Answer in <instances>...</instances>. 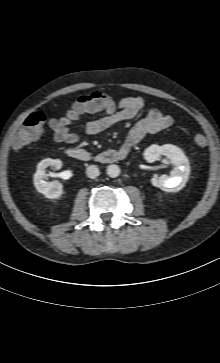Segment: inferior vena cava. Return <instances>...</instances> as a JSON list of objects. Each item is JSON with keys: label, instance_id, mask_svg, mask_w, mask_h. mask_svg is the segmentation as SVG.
Segmentation results:
<instances>
[{"label": "inferior vena cava", "instance_id": "inferior-vena-cava-1", "mask_svg": "<svg viewBox=\"0 0 220 363\" xmlns=\"http://www.w3.org/2000/svg\"><path fill=\"white\" fill-rule=\"evenodd\" d=\"M86 174L89 178L94 179L99 176L100 171L96 165H90L86 169Z\"/></svg>", "mask_w": 220, "mask_h": 363}]
</instances>
